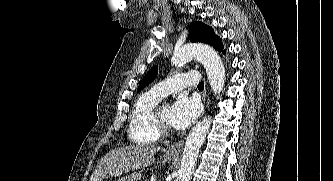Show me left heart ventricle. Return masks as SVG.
<instances>
[{"mask_svg": "<svg viewBox=\"0 0 333 181\" xmlns=\"http://www.w3.org/2000/svg\"><path fill=\"white\" fill-rule=\"evenodd\" d=\"M170 113H171V106L169 104H165L163 107H162V110H161V118L162 120L169 124V120H170Z\"/></svg>", "mask_w": 333, "mask_h": 181, "instance_id": "left-heart-ventricle-1", "label": "left heart ventricle"}]
</instances>
